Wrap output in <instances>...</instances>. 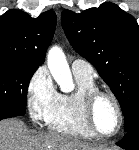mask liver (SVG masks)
I'll return each mask as SVG.
<instances>
[{
    "mask_svg": "<svg viewBox=\"0 0 139 150\" xmlns=\"http://www.w3.org/2000/svg\"><path fill=\"white\" fill-rule=\"evenodd\" d=\"M99 147L57 133L28 135L21 121L0 122V150H98Z\"/></svg>",
    "mask_w": 139,
    "mask_h": 150,
    "instance_id": "obj_1",
    "label": "liver"
}]
</instances>
